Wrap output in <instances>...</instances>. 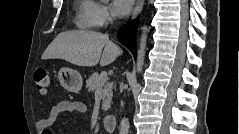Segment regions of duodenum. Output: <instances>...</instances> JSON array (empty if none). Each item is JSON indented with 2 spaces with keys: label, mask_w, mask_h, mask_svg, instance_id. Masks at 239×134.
Masks as SVG:
<instances>
[{
  "label": "duodenum",
  "mask_w": 239,
  "mask_h": 134,
  "mask_svg": "<svg viewBox=\"0 0 239 134\" xmlns=\"http://www.w3.org/2000/svg\"><path fill=\"white\" fill-rule=\"evenodd\" d=\"M117 118L113 114H107L103 117L102 123L106 131L113 132L116 126Z\"/></svg>",
  "instance_id": "1"
}]
</instances>
